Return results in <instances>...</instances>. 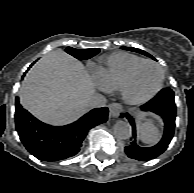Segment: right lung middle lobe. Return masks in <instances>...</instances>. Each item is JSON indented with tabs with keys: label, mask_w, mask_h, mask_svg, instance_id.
Segmentation results:
<instances>
[{
	"label": "right lung middle lobe",
	"mask_w": 194,
	"mask_h": 193,
	"mask_svg": "<svg viewBox=\"0 0 194 193\" xmlns=\"http://www.w3.org/2000/svg\"><path fill=\"white\" fill-rule=\"evenodd\" d=\"M65 51L79 60H84L96 55L100 51V49L78 50L72 47H68L65 49Z\"/></svg>",
	"instance_id": "right-lung-middle-lobe-1"
}]
</instances>
